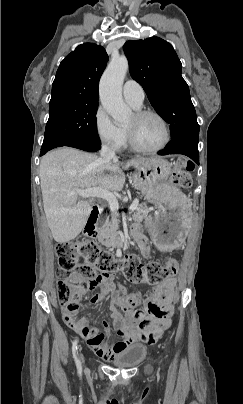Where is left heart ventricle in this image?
Here are the masks:
<instances>
[{"label":"left heart ventricle","mask_w":243,"mask_h":404,"mask_svg":"<svg viewBox=\"0 0 243 404\" xmlns=\"http://www.w3.org/2000/svg\"><path fill=\"white\" fill-rule=\"evenodd\" d=\"M125 128L131 131L141 145L148 148L157 147L166 139L164 124L155 115L136 117L133 114L127 121Z\"/></svg>","instance_id":"1"}]
</instances>
